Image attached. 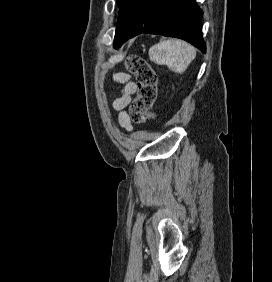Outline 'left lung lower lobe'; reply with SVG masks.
<instances>
[{"label": "left lung lower lobe", "mask_w": 272, "mask_h": 282, "mask_svg": "<svg viewBox=\"0 0 272 282\" xmlns=\"http://www.w3.org/2000/svg\"><path fill=\"white\" fill-rule=\"evenodd\" d=\"M202 15L195 0H125L119 10L114 47L150 33L184 39L205 53Z\"/></svg>", "instance_id": "obj_1"}]
</instances>
